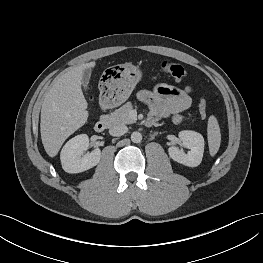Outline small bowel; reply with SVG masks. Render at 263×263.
I'll return each mask as SVG.
<instances>
[{
	"label": "small bowel",
	"instance_id": "c3829d8e",
	"mask_svg": "<svg viewBox=\"0 0 263 263\" xmlns=\"http://www.w3.org/2000/svg\"><path fill=\"white\" fill-rule=\"evenodd\" d=\"M191 93L192 88L189 86L178 89L163 84L158 85L153 91L141 90L137 97L150 109L148 117L150 124L167 117L178 123L182 119V113L191 105Z\"/></svg>",
	"mask_w": 263,
	"mask_h": 263
}]
</instances>
